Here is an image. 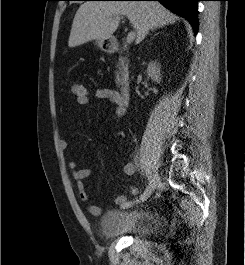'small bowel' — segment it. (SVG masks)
Returning <instances> with one entry per match:
<instances>
[{"label": "small bowel", "instance_id": "1", "mask_svg": "<svg viewBox=\"0 0 245 265\" xmlns=\"http://www.w3.org/2000/svg\"><path fill=\"white\" fill-rule=\"evenodd\" d=\"M95 96L98 99L108 100L111 103H113L116 106L115 111V117L119 118L124 114L125 111V104L122 101L120 93L111 88H99L95 92ZM60 146L62 149H67L69 146V143L66 139H61ZM68 169L70 170L72 180L75 182L78 196L82 202L88 203L87 209L88 212L93 216H98L101 214V208L100 206L96 204L89 203L90 198L86 191L84 180L88 178L92 171L90 168L84 167V168H78L77 163L73 160L68 162ZM123 171L126 175L131 176L135 173L136 169L134 164L127 163L125 164ZM137 189L135 187H132L130 189V195L135 196L137 195ZM127 198L125 195H118L115 198V203L117 205H122L124 202H126Z\"/></svg>", "mask_w": 245, "mask_h": 265}]
</instances>
